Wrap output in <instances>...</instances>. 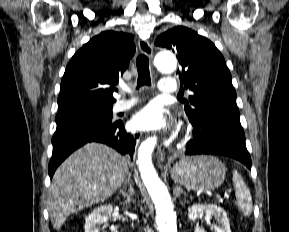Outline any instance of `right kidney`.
I'll list each match as a JSON object with an SVG mask.
<instances>
[{
    "instance_id": "right-kidney-1",
    "label": "right kidney",
    "mask_w": 289,
    "mask_h": 232,
    "mask_svg": "<svg viewBox=\"0 0 289 232\" xmlns=\"http://www.w3.org/2000/svg\"><path fill=\"white\" fill-rule=\"evenodd\" d=\"M113 211V207L111 205H104L94 209L86 218L85 221V232H100L101 225L104 227L107 226V222L111 217ZM112 232H117L115 227L111 228Z\"/></svg>"
}]
</instances>
